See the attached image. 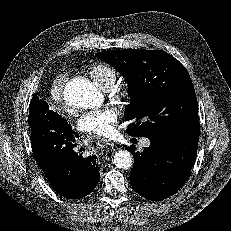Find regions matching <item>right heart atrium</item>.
<instances>
[{"mask_svg":"<svg viewBox=\"0 0 231 231\" xmlns=\"http://www.w3.org/2000/svg\"><path fill=\"white\" fill-rule=\"evenodd\" d=\"M67 82V74L60 73L54 77L51 83V97L56 102H62L63 90Z\"/></svg>","mask_w":231,"mask_h":231,"instance_id":"1","label":"right heart atrium"}]
</instances>
